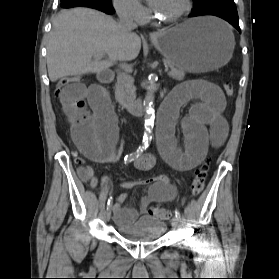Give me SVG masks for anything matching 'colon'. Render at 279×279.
Here are the masks:
<instances>
[{
	"mask_svg": "<svg viewBox=\"0 0 279 279\" xmlns=\"http://www.w3.org/2000/svg\"><path fill=\"white\" fill-rule=\"evenodd\" d=\"M77 81L78 79L75 77H65L60 79L57 83V87L55 90L56 96L60 95L64 87H66L69 84L76 83ZM223 89L227 96L233 95L234 89L231 83H224ZM76 162L81 163L82 160L80 158H76ZM208 171H209L208 161H204L195 169L193 179L191 182V192L194 196H199L204 190ZM149 213L150 215L162 220H166L171 217V212L168 209L157 207V206L151 207L149 209Z\"/></svg>",
	"mask_w": 279,
	"mask_h": 279,
	"instance_id": "colon-1",
	"label": "colon"
}]
</instances>
